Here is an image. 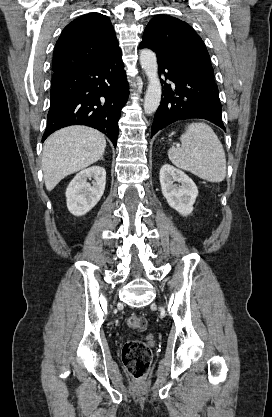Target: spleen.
I'll return each mask as SVG.
<instances>
[{
    "label": "spleen",
    "mask_w": 272,
    "mask_h": 417,
    "mask_svg": "<svg viewBox=\"0 0 272 417\" xmlns=\"http://www.w3.org/2000/svg\"><path fill=\"white\" fill-rule=\"evenodd\" d=\"M181 147L168 151L170 161L183 170L213 183L226 177V157L222 143L205 123H190L180 137Z\"/></svg>",
    "instance_id": "spleen-1"
}]
</instances>
